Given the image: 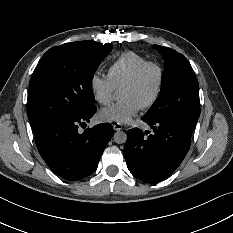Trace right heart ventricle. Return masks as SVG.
Listing matches in <instances>:
<instances>
[{
  "mask_svg": "<svg viewBox=\"0 0 233 233\" xmlns=\"http://www.w3.org/2000/svg\"><path fill=\"white\" fill-rule=\"evenodd\" d=\"M147 60L134 51H125L115 57L107 68V78L114 88L122 87L123 83Z\"/></svg>",
  "mask_w": 233,
  "mask_h": 233,
  "instance_id": "e07e8e85",
  "label": "right heart ventricle"
}]
</instances>
